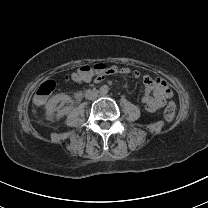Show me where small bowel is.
Listing matches in <instances>:
<instances>
[{
	"label": "small bowel",
	"mask_w": 208,
	"mask_h": 208,
	"mask_svg": "<svg viewBox=\"0 0 208 208\" xmlns=\"http://www.w3.org/2000/svg\"><path fill=\"white\" fill-rule=\"evenodd\" d=\"M106 73L103 69H100L98 71V75L95 79V82H100L101 80H104L107 77V75L111 76L112 73L127 75L130 73V69L126 67L111 68ZM134 76L136 78L141 77V72L139 70H135ZM143 82L146 87L147 93L143 96L142 102L144 103L146 109L149 112H155L161 109L164 106L166 100L171 98L173 95L172 90L168 87V84L162 78H153L149 75H145L143 76ZM82 84L88 85L89 80H79L70 82L71 86H81Z\"/></svg>",
	"instance_id": "c3829d8e"
}]
</instances>
